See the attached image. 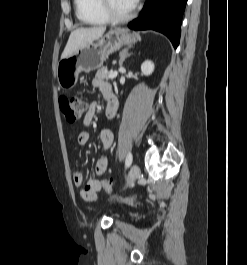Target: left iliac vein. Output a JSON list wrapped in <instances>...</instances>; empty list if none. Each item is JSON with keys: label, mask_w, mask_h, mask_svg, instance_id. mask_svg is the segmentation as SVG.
Returning a JSON list of instances; mask_svg holds the SVG:
<instances>
[{"label": "left iliac vein", "mask_w": 247, "mask_h": 265, "mask_svg": "<svg viewBox=\"0 0 247 265\" xmlns=\"http://www.w3.org/2000/svg\"><path fill=\"white\" fill-rule=\"evenodd\" d=\"M140 169L138 165L133 164L130 169L129 179H128V185H132L137 177L139 176Z\"/></svg>", "instance_id": "left-iliac-vein-1"}]
</instances>
